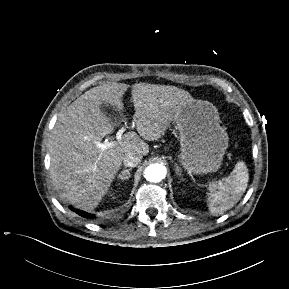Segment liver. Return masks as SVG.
<instances>
[{"label":"liver","mask_w":289,"mask_h":289,"mask_svg":"<svg viewBox=\"0 0 289 289\" xmlns=\"http://www.w3.org/2000/svg\"><path fill=\"white\" fill-rule=\"evenodd\" d=\"M129 85L107 83L93 87L58 116L50 137V175L59 197L85 211L96 208L106 195L128 152L146 156L149 145L165 135L186 102L188 91L175 86L139 83L132 86L136 132H127L115 146L101 150L96 142L119 124L100 109L102 104L123 110ZM142 137L143 139H141Z\"/></svg>","instance_id":"6515ba94"}]
</instances>
